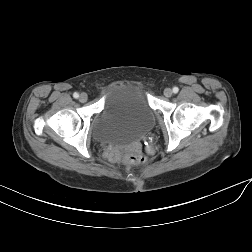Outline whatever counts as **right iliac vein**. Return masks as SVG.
Wrapping results in <instances>:
<instances>
[{"label": "right iliac vein", "instance_id": "63e3f726", "mask_svg": "<svg viewBox=\"0 0 252 252\" xmlns=\"http://www.w3.org/2000/svg\"><path fill=\"white\" fill-rule=\"evenodd\" d=\"M80 102L84 103L88 100V95L86 93H81L79 97Z\"/></svg>", "mask_w": 252, "mask_h": 252}]
</instances>
